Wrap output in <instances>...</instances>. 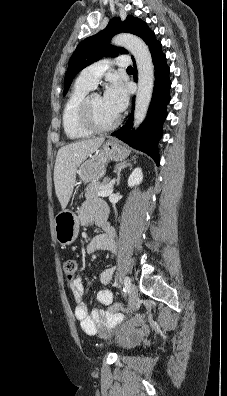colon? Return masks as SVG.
<instances>
[{
	"instance_id": "obj_1",
	"label": "colon",
	"mask_w": 227,
	"mask_h": 396,
	"mask_svg": "<svg viewBox=\"0 0 227 396\" xmlns=\"http://www.w3.org/2000/svg\"><path fill=\"white\" fill-rule=\"evenodd\" d=\"M62 269L65 275V278L68 281H72L77 273V262L74 259H64L62 262ZM109 309L112 312H118L122 309V306L119 303H113Z\"/></svg>"
}]
</instances>
